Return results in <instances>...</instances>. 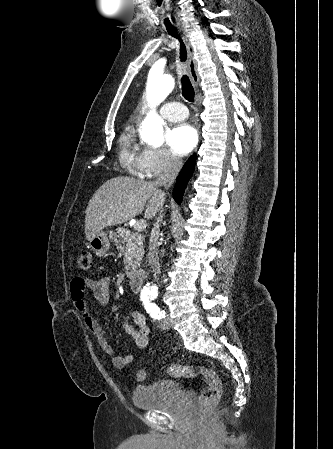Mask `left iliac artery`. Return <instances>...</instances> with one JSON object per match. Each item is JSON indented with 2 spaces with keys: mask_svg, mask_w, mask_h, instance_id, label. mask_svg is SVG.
<instances>
[{
  "mask_svg": "<svg viewBox=\"0 0 333 449\" xmlns=\"http://www.w3.org/2000/svg\"><path fill=\"white\" fill-rule=\"evenodd\" d=\"M143 303L146 311L150 314L152 318L161 319L165 316V312L160 311L159 307L156 304L151 303L148 299H146Z\"/></svg>",
  "mask_w": 333,
  "mask_h": 449,
  "instance_id": "44dca946",
  "label": "left iliac artery"
}]
</instances>
